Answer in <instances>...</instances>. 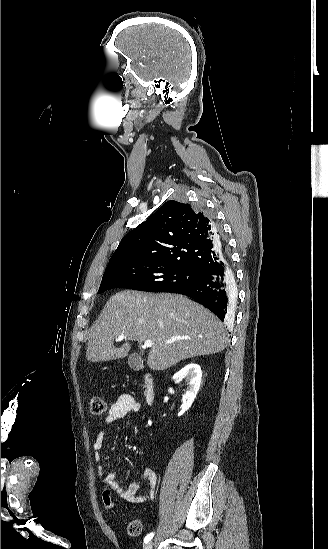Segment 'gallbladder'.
Returning a JSON list of instances; mask_svg holds the SVG:
<instances>
[{"mask_svg": "<svg viewBox=\"0 0 328 549\" xmlns=\"http://www.w3.org/2000/svg\"><path fill=\"white\" fill-rule=\"evenodd\" d=\"M128 365L130 369H133V371H141L143 367L140 355H138V353H133V355H130L128 359Z\"/></svg>", "mask_w": 328, "mask_h": 549, "instance_id": "obj_1", "label": "gallbladder"}]
</instances>
